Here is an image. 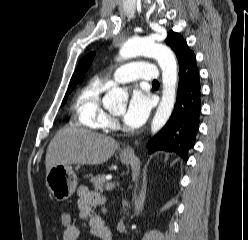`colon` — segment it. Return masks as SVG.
Wrapping results in <instances>:
<instances>
[{"label":"colon","mask_w":248,"mask_h":240,"mask_svg":"<svg viewBox=\"0 0 248 240\" xmlns=\"http://www.w3.org/2000/svg\"><path fill=\"white\" fill-rule=\"evenodd\" d=\"M60 226L63 229L68 228L73 223V218L70 212H62L59 217Z\"/></svg>","instance_id":"5ec220e1"}]
</instances>
